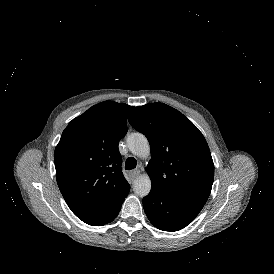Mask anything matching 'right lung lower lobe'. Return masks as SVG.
<instances>
[{"mask_svg": "<svg viewBox=\"0 0 274 274\" xmlns=\"http://www.w3.org/2000/svg\"><path fill=\"white\" fill-rule=\"evenodd\" d=\"M128 195V194H127ZM127 197V196H126ZM125 197V198H126ZM124 198V199H125ZM124 199H123V201H124ZM123 201L119 204V206H118V208L115 210V213H114V215L112 216V218H111V221H113L114 220V218L118 215V213H119V211H120V209H121V205H122V203H123ZM110 221V222H111Z\"/></svg>", "mask_w": 274, "mask_h": 274, "instance_id": "obj_1", "label": "right lung lower lobe"}]
</instances>
